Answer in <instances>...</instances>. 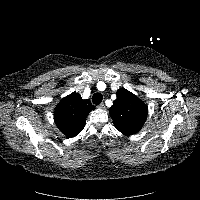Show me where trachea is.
<instances>
[{
    "instance_id": "obj_1",
    "label": "trachea",
    "mask_w": 200,
    "mask_h": 200,
    "mask_svg": "<svg viewBox=\"0 0 200 200\" xmlns=\"http://www.w3.org/2000/svg\"><path fill=\"white\" fill-rule=\"evenodd\" d=\"M102 100H103V95L101 93H95L92 96V102L95 105H99L102 102Z\"/></svg>"
}]
</instances>
